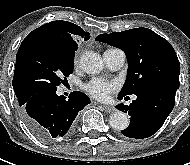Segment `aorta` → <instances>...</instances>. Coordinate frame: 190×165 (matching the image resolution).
<instances>
[{"label": "aorta", "instance_id": "aorta-1", "mask_svg": "<svg viewBox=\"0 0 190 165\" xmlns=\"http://www.w3.org/2000/svg\"><path fill=\"white\" fill-rule=\"evenodd\" d=\"M80 66L85 73L95 75L103 69V61L98 53L88 51L81 56ZM110 125L115 130H125L129 125V118L125 113L116 111L110 116Z\"/></svg>", "mask_w": 190, "mask_h": 165}]
</instances>
